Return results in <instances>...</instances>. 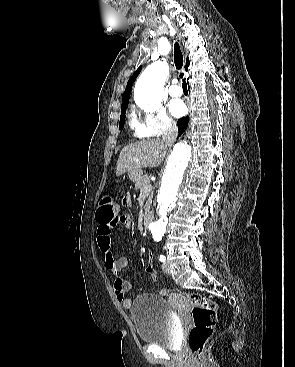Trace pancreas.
<instances>
[{"label":"pancreas","mask_w":295,"mask_h":367,"mask_svg":"<svg viewBox=\"0 0 295 367\" xmlns=\"http://www.w3.org/2000/svg\"><path fill=\"white\" fill-rule=\"evenodd\" d=\"M146 185H150V180L147 175L142 176L141 180L135 183V188L140 190V193L148 196V200L146 202L145 211H148L151 206V201L153 194L149 192H145Z\"/></svg>","instance_id":"1"}]
</instances>
